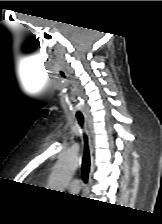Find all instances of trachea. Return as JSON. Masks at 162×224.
<instances>
[{
	"label": "trachea",
	"instance_id": "obj_1",
	"mask_svg": "<svg viewBox=\"0 0 162 224\" xmlns=\"http://www.w3.org/2000/svg\"><path fill=\"white\" fill-rule=\"evenodd\" d=\"M77 120L80 126L83 128V125H84L83 117L77 116ZM84 143H85V149H84L81 173H82L83 181L86 183L88 181V176L90 171V155H89L88 137L86 134H84Z\"/></svg>",
	"mask_w": 162,
	"mask_h": 224
}]
</instances>
